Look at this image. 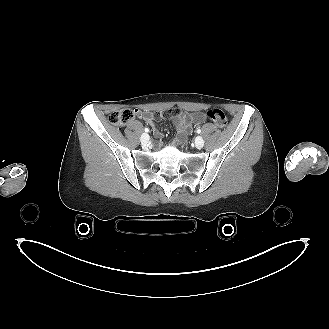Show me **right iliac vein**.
Instances as JSON below:
<instances>
[{
  "mask_svg": "<svg viewBox=\"0 0 329 329\" xmlns=\"http://www.w3.org/2000/svg\"><path fill=\"white\" fill-rule=\"evenodd\" d=\"M140 141L142 144H146L149 141V135L147 133H143L140 137Z\"/></svg>",
  "mask_w": 329,
  "mask_h": 329,
  "instance_id": "63e3f726",
  "label": "right iliac vein"
}]
</instances>
